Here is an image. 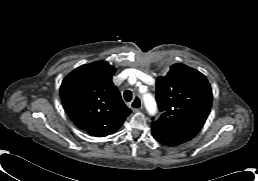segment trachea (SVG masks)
Returning <instances> with one entry per match:
<instances>
[{
  "mask_svg": "<svg viewBox=\"0 0 258 181\" xmlns=\"http://www.w3.org/2000/svg\"><path fill=\"white\" fill-rule=\"evenodd\" d=\"M124 99L129 102L132 99V92L130 90H126L124 92Z\"/></svg>",
  "mask_w": 258,
  "mask_h": 181,
  "instance_id": "obj_1",
  "label": "trachea"
}]
</instances>
